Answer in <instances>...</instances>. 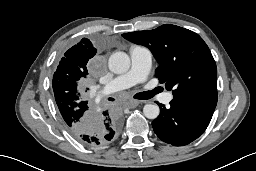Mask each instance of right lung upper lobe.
I'll use <instances>...</instances> for the list:
<instances>
[{
	"instance_id": "1",
	"label": "right lung upper lobe",
	"mask_w": 256,
	"mask_h": 171,
	"mask_svg": "<svg viewBox=\"0 0 256 171\" xmlns=\"http://www.w3.org/2000/svg\"><path fill=\"white\" fill-rule=\"evenodd\" d=\"M96 51L90 40L83 38L80 43L67 50L63 58L71 61L74 64V68L85 78L87 75L86 64L96 54ZM53 88L55 101L65 125L70 131H75L86 122L88 115L86 109L89 105L79 102V100L74 98L67 97L58 89L56 83Z\"/></svg>"
}]
</instances>
